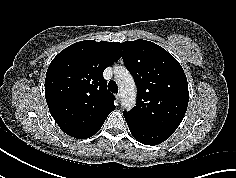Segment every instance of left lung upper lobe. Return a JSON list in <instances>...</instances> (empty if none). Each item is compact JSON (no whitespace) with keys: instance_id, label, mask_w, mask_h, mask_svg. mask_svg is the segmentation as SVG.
I'll use <instances>...</instances> for the list:
<instances>
[{"instance_id":"5c2ea615","label":"left lung upper lobe","mask_w":236,"mask_h":178,"mask_svg":"<svg viewBox=\"0 0 236 178\" xmlns=\"http://www.w3.org/2000/svg\"><path fill=\"white\" fill-rule=\"evenodd\" d=\"M122 48L124 64L137 86L136 105L123 112L126 121L173 133L189 101L187 78L181 65L150 41H125Z\"/></svg>"}]
</instances>
